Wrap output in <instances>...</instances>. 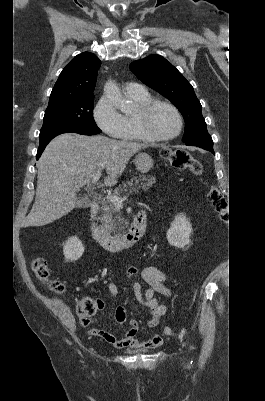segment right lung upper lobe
I'll return each mask as SVG.
<instances>
[{
  "label": "right lung upper lobe",
  "mask_w": 265,
  "mask_h": 401,
  "mask_svg": "<svg viewBox=\"0 0 265 401\" xmlns=\"http://www.w3.org/2000/svg\"><path fill=\"white\" fill-rule=\"evenodd\" d=\"M100 64L101 61L93 53L84 52L77 55L60 73L51 92L48 106L77 97L94 95Z\"/></svg>",
  "instance_id": "1"
}]
</instances>
